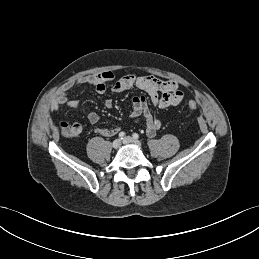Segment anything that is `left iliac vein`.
I'll list each match as a JSON object with an SVG mask.
<instances>
[{
	"instance_id": "left-iliac-vein-1",
	"label": "left iliac vein",
	"mask_w": 259,
	"mask_h": 259,
	"mask_svg": "<svg viewBox=\"0 0 259 259\" xmlns=\"http://www.w3.org/2000/svg\"><path fill=\"white\" fill-rule=\"evenodd\" d=\"M123 143L124 144H134V145H137V146H140L141 143L138 141V140H135L133 139L132 137L130 136H127L123 139Z\"/></svg>"
}]
</instances>
